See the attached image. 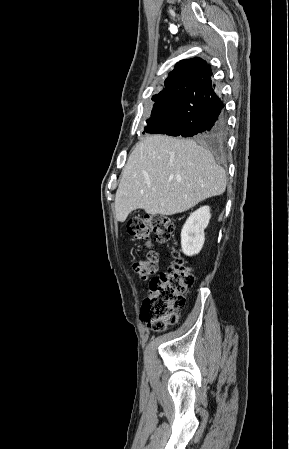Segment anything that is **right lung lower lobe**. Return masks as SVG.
I'll list each match as a JSON object with an SVG mask.
<instances>
[{"instance_id": "obj_1", "label": "right lung lower lobe", "mask_w": 289, "mask_h": 449, "mask_svg": "<svg viewBox=\"0 0 289 449\" xmlns=\"http://www.w3.org/2000/svg\"><path fill=\"white\" fill-rule=\"evenodd\" d=\"M168 97L174 113L156 134L170 136L214 138L226 129L224 104L211 78L179 80L170 86Z\"/></svg>"}]
</instances>
